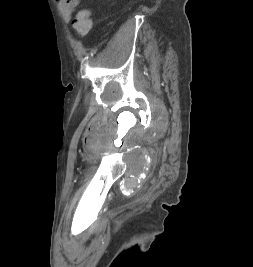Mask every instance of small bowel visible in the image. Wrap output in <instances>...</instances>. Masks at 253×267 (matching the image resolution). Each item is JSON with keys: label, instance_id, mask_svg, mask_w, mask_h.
<instances>
[{"label": "small bowel", "instance_id": "obj_1", "mask_svg": "<svg viewBox=\"0 0 253 267\" xmlns=\"http://www.w3.org/2000/svg\"><path fill=\"white\" fill-rule=\"evenodd\" d=\"M58 10L61 13L64 21L69 22L71 16L79 7L80 0H55Z\"/></svg>", "mask_w": 253, "mask_h": 267}]
</instances>
